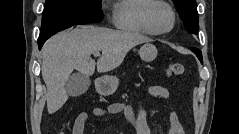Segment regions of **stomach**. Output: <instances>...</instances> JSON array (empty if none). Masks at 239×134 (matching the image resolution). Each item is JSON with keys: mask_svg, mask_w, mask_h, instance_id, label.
<instances>
[{"mask_svg": "<svg viewBox=\"0 0 239 134\" xmlns=\"http://www.w3.org/2000/svg\"><path fill=\"white\" fill-rule=\"evenodd\" d=\"M139 55L143 61L151 62L157 56L156 47L150 43L146 42L139 50ZM119 80L116 76L104 75L100 77L96 83V89L101 95H111L118 88Z\"/></svg>", "mask_w": 239, "mask_h": 134, "instance_id": "1", "label": "stomach"}]
</instances>
